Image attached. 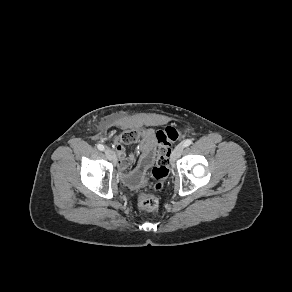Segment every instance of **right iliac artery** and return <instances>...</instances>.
<instances>
[{
    "mask_svg": "<svg viewBox=\"0 0 292 292\" xmlns=\"http://www.w3.org/2000/svg\"><path fill=\"white\" fill-rule=\"evenodd\" d=\"M97 148L101 151H103L105 149L104 145H102V144H98Z\"/></svg>",
    "mask_w": 292,
    "mask_h": 292,
    "instance_id": "1",
    "label": "right iliac artery"
}]
</instances>
